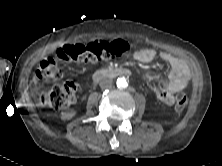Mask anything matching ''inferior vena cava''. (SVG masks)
Returning a JSON list of instances; mask_svg holds the SVG:
<instances>
[{
    "label": "inferior vena cava",
    "instance_id": "602c4592",
    "mask_svg": "<svg viewBox=\"0 0 222 166\" xmlns=\"http://www.w3.org/2000/svg\"><path fill=\"white\" fill-rule=\"evenodd\" d=\"M100 87L103 88V89H107V88H111L112 87V81L110 79H102L100 81Z\"/></svg>",
    "mask_w": 222,
    "mask_h": 166
}]
</instances>
